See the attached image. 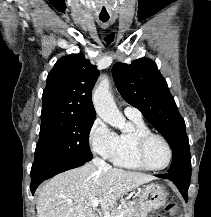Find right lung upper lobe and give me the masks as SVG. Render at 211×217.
<instances>
[{"label":"right lung upper lobe","instance_id":"1","mask_svg":"<svg viewBox=\"0 0 211 217\" xmlns=\"http://www.w3.org/2000/svg\"><path fill=\"white\" fill-rule=\"evenodd\" d=\"M99 72L81 53L59 59L47 77L41 119L51 116L94 118L92 89Z\"/></svg>","mask_w":211,"mask_h":217}]
</instances>
